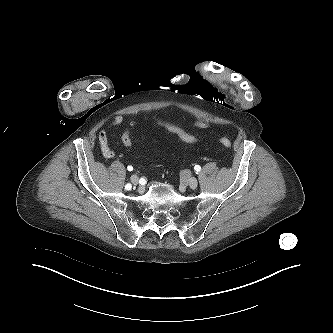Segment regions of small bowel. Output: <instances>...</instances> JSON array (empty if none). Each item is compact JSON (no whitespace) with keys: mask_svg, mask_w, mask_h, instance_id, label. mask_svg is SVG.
Listing matches in <instances>:
<instances>
[{"mask_svg":"<svg viewBox=\"0 0 333 333\" xmlns=\"http://www.w3.org/2000/svg\"><path fill=\"white\" fill-rule=\"evenodd\" d=\"M122 122H123V117L121 115H116L112 117L111 120L109 121L108 129L118 127L122 124ZM193 127L197 129H208L210 127V124L207 121L199 120L193 123ZM98 140L102 154L106 158H112L114 156V151L109 145L108 131L101 130L98 135Z\"/></svg>","mask_w":333,"mask_h":333,"instance_id":"obj_1","label":"small bowel"}]
</instances>
